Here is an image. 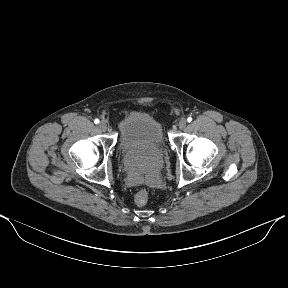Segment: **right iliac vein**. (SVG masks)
Returning a JSON list of instances; mask_svg holds the SVG:
<instances>
[{
  "label": "right iliac vein",
  "mask_w": 288,
  "mask_h": 288,
  "mask_svg": "<svg viewBox=\"0 0 288 288\" xmlns=\"http://www.w3.org/2000/svg\"><path fill=\"white\" fill-rule=\"evenodd\" d=\"M99 128L104 132L107 130V124L104 121H102L99 123Z\"/></svg>",
  "instance_id": "right-iliac-vein-1"
}]
</instances>
